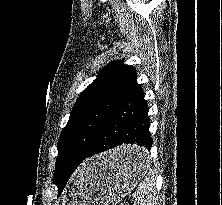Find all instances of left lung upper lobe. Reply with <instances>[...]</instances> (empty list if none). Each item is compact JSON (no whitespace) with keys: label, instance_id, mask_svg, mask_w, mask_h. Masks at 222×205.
Masks as SVG:
<instances>
[{"label":"left lung upper lobe","instance_id":"1","mask_svg":"<svg viewBox=\"0 0 222 205\" xmlns=\"http://www.w3.org/2000/svg\"><path fill=\"white\" fill-rule=\"evenodd\" d=\"M135 76L132 66L122 60L112 61L100 69L97 78L80 94L58 140L54 173L58 188L69 178L64 169L65 160L86 154L107 115Z\"/></svg>","mask_w":222,"mask_h":205}]
</instances>
